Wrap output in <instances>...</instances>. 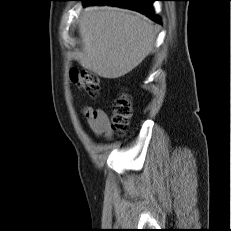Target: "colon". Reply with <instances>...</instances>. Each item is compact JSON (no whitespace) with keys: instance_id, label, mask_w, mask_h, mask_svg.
<instances>
[{"instance_id":"obj_1","label":"colon","mask_w":231,"mask_h":231,"mask_svg":"<svg viewBox=\"0 0 231 231\" xmlns=\"http://www.w3.org/2000/svg\"><path fill=\"white\" fill-rule=\"evenodd\" d=\"M72 81L81 87L90 96H96L99 90L98 79L96 75L87 70H74L71 73ZM132 114V105L126 96L119 97L113 109V127L118 130H124L129 123Z\"/></svg>"}]
</instances>
